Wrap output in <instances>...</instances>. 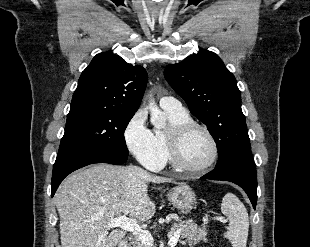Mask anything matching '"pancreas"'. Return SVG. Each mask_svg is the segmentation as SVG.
I'll use <instances>...</instances> for the list:
<instances>
[{"mask_svg":"<svg viewBox=\"0 0 310 247\" xmlns=\"http://www.w3.org/2000/svg\"><path fill=\"white\" fill-rule=\"evenodd\" d=\"M177 230H180V243L192 246L200 241L207 242V229L197 228V225L192 221L174 223L170 234L173 235ZM132 247H148L137 236L131 242Z\"/></svg>","mask_w":310,"mask_h":247,"instance_id":"1","label":"pancreas"}]
</instances>
